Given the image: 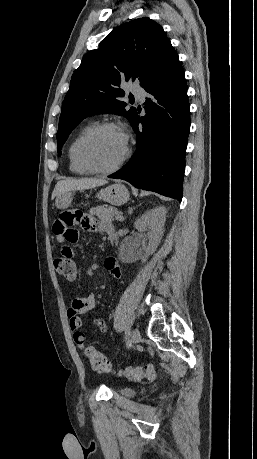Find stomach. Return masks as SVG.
Listing matches in <instances>:
<instances>
[{
    "mask_svg": "<svg viewBox=\"0 0 257 459\" xmlns=\"http://www.w3.org/2000/svg\"><path fill=\"white\" fill-rule=\"evenodd\" d=\"M97 197L112 205H122L129 200V191L123 184L115 183L101 189ZM72 199L73 194L71 192L63 193L57 197L55 203L56 207L58 209H64L65 205H71Z\"/></svg>",
    "mask_w": 257,
    "mask_h": 459,
    "instance_id": "obj_1",
    "label": "stomach"
}]
</instances>
